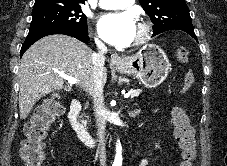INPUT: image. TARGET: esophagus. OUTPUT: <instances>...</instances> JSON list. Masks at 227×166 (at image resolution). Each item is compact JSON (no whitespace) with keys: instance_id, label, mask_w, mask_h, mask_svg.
Returning <instances> with one entry per match:
<instances>
[{"instance_id":"1","label":"esophagus","mask_w":227,"mask_h":166,"mask_svg":"<svg viewBox=\"0 0 227 166\" xmlns=\"http://www.w3.org/2000/svg\"><path fill=\"white\" fill-rule=\"evenodd\" d=\"M110 61L112 65H119L123 63V59L117 53H113L111 55Z\"/></svg>"}]
</instances>
